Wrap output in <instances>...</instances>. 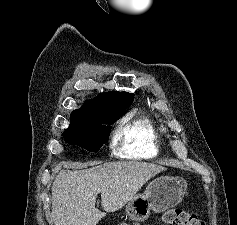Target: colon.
<instances>
[{
  "label": "colon",
  "instance_id": "obj_1",
  "mask_svg": "<svg viewBox=\"0 0 237 225\" xmlns=\"http://www.w3.org/2000/svg\"><path fill=\"white\" fill-rule=\"evenodd\" d=\"M163 222L168 225H205L204 222L195 214L185 211L181 207H175L167 212L162 217ZM118 225H138L123 222Z\"/></svg>",
  "mask_w": 237,
  "mask_h": 225
}]
</instances>
